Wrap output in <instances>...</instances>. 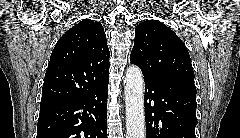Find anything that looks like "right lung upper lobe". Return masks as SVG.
<instances>
[{
	"mask_svg": "<svg viewBox=\"0 0 240 138\" xmlns=\"http://www.w3.org/2000/svg\"><path fill=\"white\" fill-rule=\"evenodd\" d=\"M109 48L102 25L83 19L56 43L40 108L85 95L109 80Z\"/></svg>",
	"mask_w": 240,
	"mask_h": 138,
	"instance_id": "obj_1",
	"label": "right lung upper lobe"
}]
</instances>
